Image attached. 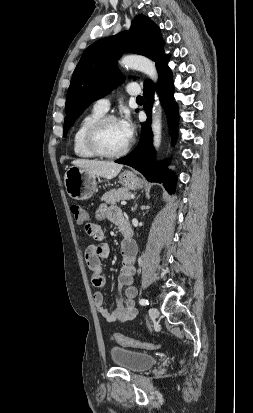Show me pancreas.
Returning a JSON list of instances; mask_svg holds the SVG:
<instances>
[{
  "mask_svg": "<svg viewBox=\"0 0 253 413\" xmlns=\"http://www.w3.org/2000/svg\"><path fill=\"white\" fill-rule=\"evenodd\" d=\"M130 197H131V194L127 190L123 188H118V189H112L106 192L102 196V201H105L107 204H110V205H115L120 200L129 199Z\"/></svg>",
  "mask_w": 253,
  "mask_h": 413,
  "instance_id": "cf45deb5",
  "label": "pancreas"
}]
</instances>
